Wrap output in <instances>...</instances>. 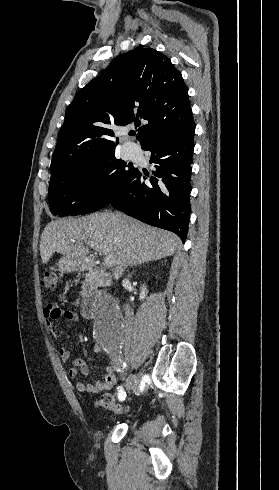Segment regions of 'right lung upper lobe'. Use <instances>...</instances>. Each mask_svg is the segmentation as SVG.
<instances>
[{"mask_svg":"<svg viewBox=\"0 0 279 490\" xmlns=\"http://www.w3.org/2000/svg\"><path fill=\"white\" fill-rule=\"evenodd\" d=\"M181 73L152 48L117 56L69 105L51 162V179L115 149L109 125L141 121V146L195 124ZM118 143V139L117 142Z\"/></svg>","mask_w":279,"mask_h":490,"instance_id":"right-lung-upper-lobe-1","label":"right lung upper lobe"}]
</instances>
